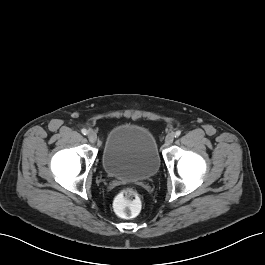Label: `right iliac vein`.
Instances as JSON below:
<instances>
[{"label": "right iliac vein", "instance_id": "63e3f726", "mask_svg": "<svg viewBox=\"0 0 265 265\" xmlns=\"http://www.w3.org/2000/svg\"><path fill=\"white\" fill-rule=\"evenodd\" d=\"M88 139L91 143H95L97 140V135L94 131H89L88 132Z\"/></svg>", "mask_w": 265, "mask_h": 265}]
</instances>
